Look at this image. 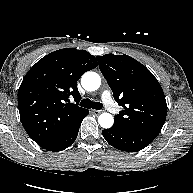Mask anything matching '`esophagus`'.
<instances>
[{
  "instance_id": "esophagus-1",
  "label": "esophagus",
  "mask_w": 193,
  "mask_h": 193,
  "mask_svg": "<svg viewBox=\"0 0 193 193\" xmlns=\"http://www.w3.org/2000/svg\"><path fill=\"white\" fill-rule=\"evenodd\" d=\"M90 112H91L92 114H94V115H99V114L101 113L100 110H95V109H92Z\"/></svg>"
}]
</instances>
